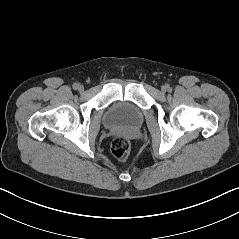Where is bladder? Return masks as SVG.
Returning a JSON list of instances; mask_svg holds the SVG:
<instances>
[{
    "label": "bladder",
    "mask_w": 239,
    "mask_h": 239,
    "mask_svg": "<svg viewBox=\"0 0 239 239\" xmlns=\"http://www.w3.org/2000/svg\"><path fill=\"white\" fill-rule=\"evenodd\" d=\"M143 121V111L135 104L127 101L113 103L104 115V123L108 127L138 129Z\"/></svg>",
    "instance_id": "1"
}]
</instances>
